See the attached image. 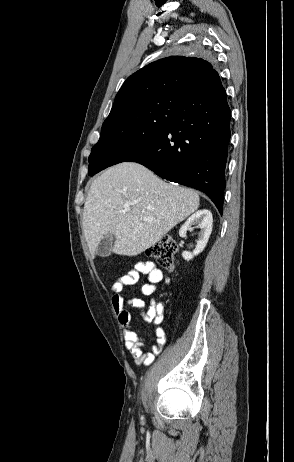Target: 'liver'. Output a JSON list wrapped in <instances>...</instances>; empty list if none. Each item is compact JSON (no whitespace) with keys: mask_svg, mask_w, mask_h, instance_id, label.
I'll return each mask as SVG.
<instances>
[{"mask_svg":"<svg viewBox=\"0 0 294 462\" xmlns=\"http://www.w3.org/2000/svg\"><path fill=\"white\" fill-rule=\"evenodd\" d=\"M199 201L197 192L166 183L138 163L110 167L92 182L84 204L89 250L94 255L110 233L115 235V254L136 256L195 212Z\"/></svg>","mask_w":294,"mask_h":462,"instance_id":"liver-1","label":"liver"}]
</instances>
